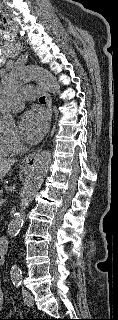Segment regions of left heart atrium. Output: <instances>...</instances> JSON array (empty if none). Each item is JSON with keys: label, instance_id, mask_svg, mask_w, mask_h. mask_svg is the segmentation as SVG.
Masks as SVG:
<instances>
[{"label": "left heart atrium", "instance_id": "obj_1", "mask_svg": "<svg viewBox=\"0 0 118 320\" xmlns=\"http://www.w3.org/2000/svg\"><path fill=\"white\" fill-rule=\"evenodd\" d=\"M48 127V118L45 112L39 108L26 111L19 124L20 135L24 142L35 144L41 140Z\"/></svg>", "mask_w": 118, "mask_h": 320}]
</instances>
